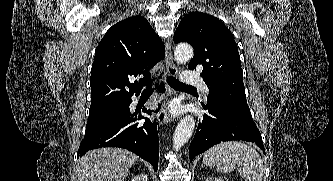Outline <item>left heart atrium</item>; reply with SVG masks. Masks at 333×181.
I'll list each match as a JSON object with an SVG mask.
<instances>
[{"mask_svg": "<svg viewBox=\"0 0 333 181\" xmlns=\"http://www.w3.org/2000/svg\"><path fill=\"white\" fill-rule=\"evenodd\" d=\"M171 111H172V112H176V111H177V108H176L175 106H173V107L171 108Z\"/></svg>", "mask_w": 333, "mask_h": 181, "instance_id": "left-heart-atrium-1", "label": "left heart atrium"}]
</instances>
